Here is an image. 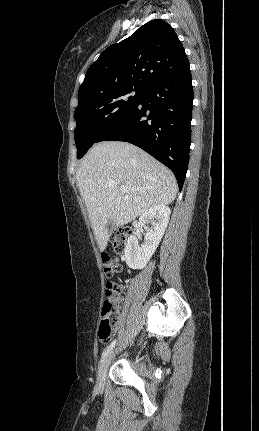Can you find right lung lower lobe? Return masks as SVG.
Listing matches in <instances>:
<instances>
[{"label":"right lung lower lobe","instance_id":"98d812e1","mask_svg":"<svg viewBox=\"0 0 259 431\" xmlns=\"http://www.w3.org/2000/svg\"><path fill=\"white\" fill-rule=\"evenodd\" d=\"M193 87L189 65L145 89L143 96L98 140L132 143L169 167L182 189L189 162Z\"/></svg>","mask_w":259,"mask_h":431}]
</instances>
